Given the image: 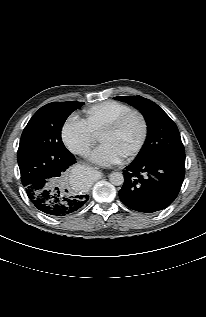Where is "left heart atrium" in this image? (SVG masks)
Here are the masks:
<instances>
[{
  "mask_svg": "<svg viewBox=\"0 0 206 317\" xmlns=\"http://www.w3.org/2000/svg\"><path fill=\"white\" fill-rule=\"evenodd\" d=\"M122 155L115 147L102 143L90 155V159L98 164L113 165L122 161Z\"/></svg>",
  "mask_w": 206,
  "mask_h": 317,
  "instance_id": "obj_1",
  "label": "left heart atrium"
}]
</instances>
